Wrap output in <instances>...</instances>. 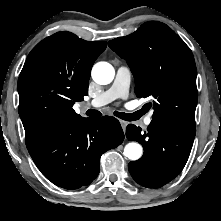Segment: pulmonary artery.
<instances>
[{
    "label": "pulmonary artery",
    "instance_id": "e3ab8cb5",
    "mask_svg": "<svg viewBox=\"0 0 221 221\" xmlns=\"http://www.w3.org/2000/svg\"><path fill=\"white\" fill-rule=\"evenodd\" d=\"M130 70L128 67L121 66L118 68L113 84L102 94L94 98L90 105L92 107H101L116 99H125L128 96L130 85ZM152 122L151 114L144 119L145 125H150Z\"/></svg>",
    "mask_w": 221,
    "mask_h": 221
}]
</instances>
